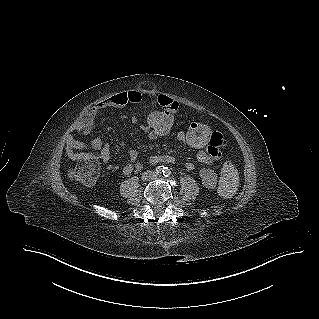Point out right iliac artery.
Masks as SVG:
<instances>
[{"label":"right iliac artery","instance_id":"1","mask_svg":"<svg viewBox=\"0 0 319 319\" xmlns=\"http://www.w3.org/2000/svg\"><path fill=\"white\" fill-rule=\"evenodd\" d=\"M166 167H164L163 165L158 166L155 168V172L156 173H163L165 171Z\"/></svg>","mask_w":319,"mask_h":319}]
</instances>
